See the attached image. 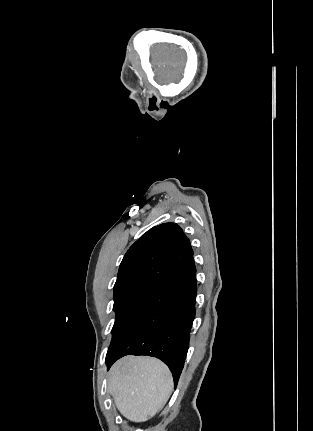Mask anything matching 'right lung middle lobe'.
<instances>
[{
  "label": "right lung middle lobe",
  "mask_w": 313,
  "mask_h": 431,
  "mask_svg": "<svg viewBox=\"0 0 313 431\" xmlns=\"http://www.w3.org/2000/svg\"><path fill=\"white\" fill-rule=\"evenodd\" d=\"M147 296L148 295L127 294L114 297L113 310L116 312V318L112 328V340L122 330L127 321Z\"/></svg>",
  "instance_id": "right-lung-middle-lobe-1"
}]
</instances>
